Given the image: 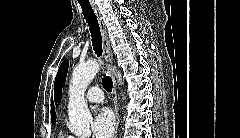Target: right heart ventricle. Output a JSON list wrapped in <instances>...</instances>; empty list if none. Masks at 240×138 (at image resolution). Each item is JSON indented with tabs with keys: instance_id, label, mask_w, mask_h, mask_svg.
Wrapping results in <instances>:
<instances>
[{
	"instance_id": "1",
	"label": "right heart ventricle",
	"mask_w": 240,
	"mask_h": 138,
	"mask_svg": "<svg viewBox=\"0 0 240 138\" xmlns=\"http://www.w3.org/2000/svg\"><path fill=\"white\" fill-rule=\"evenodd\" d=\"M58 138H72L65 133H60Z\"/></svg>"
}]
</instances>
